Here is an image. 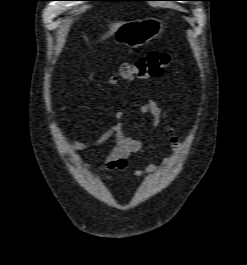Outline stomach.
<instances>
[{
  "label": "stomach",
  "mask_w": 247,
  "mask_h": 265,
  "mask_svg": "<svg viewBox=\"0 0 247 265\" xmlns=\"http://www.w3.org/2000/svg\"><path fill=\"white\" fill-rule=\"evenodd\" d=\"M163 27V22L154 17L125 22L116 31L114 41L130 48H137L158 37Z\"/></svg>",
  "instance_id": "1"
}]
</instances>
